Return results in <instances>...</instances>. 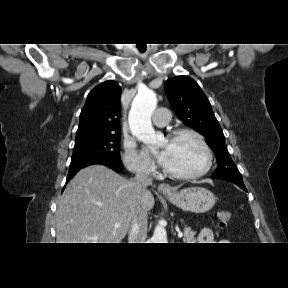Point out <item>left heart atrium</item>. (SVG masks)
Here are the masks:
<instances>
[{"instance_id": "left-heart-atrium-1", "label": "left heart atrium", "mask_w": 288, "mask_h": 288, "mask_svg": "<svg viewBox=\"0 0 288 288\" xmlns=\"http://www.w3.org/2000/svg\"><path fill=\"white\" fill-rule=\"evenodd\" d=\"M157 157H158V160L163 164L165 160V152L158 153Z\"/></svg>"}]
</instances>
